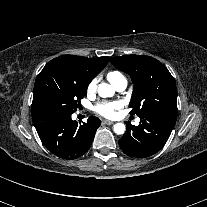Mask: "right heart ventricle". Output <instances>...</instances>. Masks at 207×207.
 <instances>
[{
    "label": "right heart ventricle",
    "mask_w": 207,
    "mask_h": 207,
    "mask_svg": "<svg viewBox=\"0 0 207 207\" xmlns=\"http://www.w3.org/2000/svg\"><path fill=\"white\" fill-rule=\"evenodd\" d=\"M108 80L114 84L118 79L124 78L123 75L118 71H110L107 74Z\"/></svg>",
    "instance_id": "obj_1"
}]
</instances>
